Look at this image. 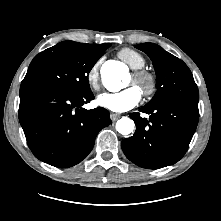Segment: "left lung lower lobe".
I'll use <instances>...</instances> for the list:
<instances>
[{
	"mask_svg": "<svg viewBox=\"0 0 221 221\" xmlns=\"http://www.w3.org/2000/svg\"><path fill=\"white\" fill-rule=\"evenodd\" d=\"M129 116L136 124L134 136L124 139L121 148L126 157L143 168L159 169L178 162L186 153L196 130L198 101L170 99L154 106H144Z\"/></svg>",
	"mask_w": 221,
	"mask_h": 221,
	"instance_id": "obj_1",
	"label": "left lung lower lobe"
}]
</instances>
